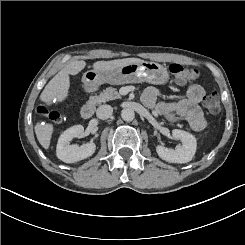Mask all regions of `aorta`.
Instances as JSON below:
<instances>
[{"label":"aorta","instance_id":"aorta-1","mask_svg":"<svg viewBox=\"0 0 245 245\" xmlns=\"http://www.w3.org/2000/svg\"><path fill=\"white\" fill-rule=\"evenodd\" d=\"M121 117L124 121L130 122L135 117V112L130 108H125L121 111Z\"/></svg>","mask_w":245,"mask_h":245}]
</instances>
